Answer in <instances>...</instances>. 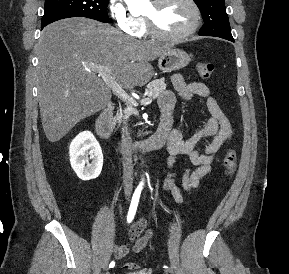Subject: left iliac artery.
<instances>
[{"mask_svg":"<svg viewBox=\"0 0 289 274\" xmlns=\"http://www.w3.org/2000/svg\"><path fill=\"white\" fill-rule=\"evenodd\" d=\"M164 268L168 271L169 270V267H167V266H164Z\"/></svg>","mask_w":289,"mask_h":274,"instance_id":"left-iliac-artery-1","label":"left iliac artery"}]
</instances>
